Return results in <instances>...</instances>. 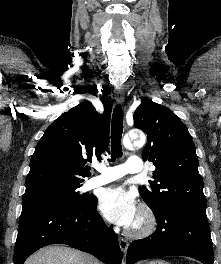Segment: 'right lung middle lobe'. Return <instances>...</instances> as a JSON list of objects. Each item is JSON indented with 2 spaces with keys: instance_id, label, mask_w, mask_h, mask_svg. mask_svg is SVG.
Segmentation results:
<instances>
[{
  "instance_id": "obj_1",
  "label": "right lung middle lobe",
  "mask_w": 221,
  "mask_h": 264,
  "mask_svg": "<svg viewBox=\"0 0 221 264\" xmlns=\"http://www.w3.org/2000/svg\"><path fill=\"white\" fill-rule=\"evenodd\" d=\"M81 183L54 182L30 189L23 195V206L32 204L51 205L61 208H81L89 205L94 196L79 193Z\"/></svg>"
}]
</instances>
